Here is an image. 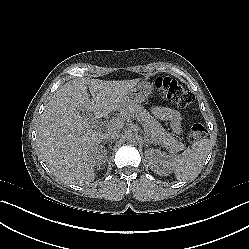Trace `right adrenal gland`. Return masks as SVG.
Masks as SVG:
<instances>
[{"label": "right adrenal gland", "instance_id": "2a0ac1e0", "mask_svg": "<svg viewBox=\"0 0 249 249\" xmlns=\"http://www.w3.org/2000/svg\"><path fill=\"white\" fill-rule=\"evenodd\" d=\"M107 141L112 142V140H108V139L105 140V138H104V144H103V146H101V151H103V147L107 143Z\"/></svg>", "mask_w": 249, "mask_h": 249}]
</instances>
